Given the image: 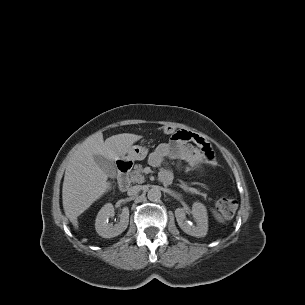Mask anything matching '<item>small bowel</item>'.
Here are the masks:
<instances>
[{
  "label": "small bowel",
  "mask_w": 305,
  "mask_h": 305,
  "mask_svg": "<svg viewBox=\"0 0 305 305\" xmlns=\"http://www.w3.org/2000/svg\"><path fill=\"white\" fill-rule=\"evenodd\" d=\"M181 136H174L168 143L159 145L149 156L152 166L159 167L167 159L183 161L192 170L200 171L206 167H214L216 160L210 145L206 140L190 131L182 130ZM160 178L172 180V171L161 170Z\"/></svg>",
  "instance_id": "obj_1"
}]
</instances>
